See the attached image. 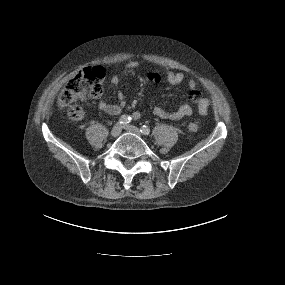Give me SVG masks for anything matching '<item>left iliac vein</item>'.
<instances>
[{
    "label": "left iliac vein",
    "instance_id": "4c4485c4",
    "mask_svg": "<svg viewBox=\"0 0 285 285\" xmlns=\"http://www.w3.org/2000/svg\"><path fill=\"white\" fill-rule=\"evenodd\" d=\"M124 129H125L126 131L131 132V133H134V134H136V135H138V136L141 135L140 130H139L137 127L133 126V125H125V126H124Z\"/></svg>",
    "mask_w": 285,
    "mask_h": 285
}]
</instances>
